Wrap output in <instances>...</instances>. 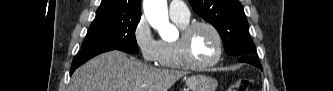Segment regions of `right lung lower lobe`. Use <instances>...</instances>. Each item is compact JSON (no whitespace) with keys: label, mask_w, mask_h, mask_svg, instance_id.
<instances>
[{"label":"right lung lower lobe","mask_w":333,"mask_h":91,"mask_svg":"<svg viewBox=\"0 0 333 91\" xmlns=\"http://www.w3.org/2000/svg\"><path fill=\"white\" fill-rule=\"evenodd\" d=\"M106 51H110V50H98V51H91V52H79L74 60H73V63H72V66H71V72H70V75L75 71V69L77 67H79L81 64L85 63L86 61H88L89 59H91L92 57L100 54V53H103V52H106Z\"/></svg>","instance_id":"1"}]
</instances>
